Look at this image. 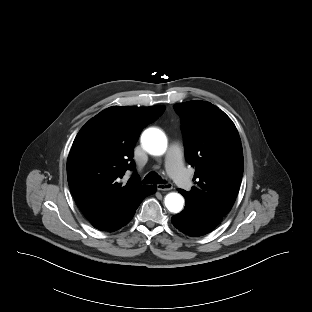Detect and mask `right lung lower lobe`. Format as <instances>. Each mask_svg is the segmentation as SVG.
<instances>
[{
	"label": "right lung lower lobe",
	"mask_w": 312,
	"mask_h": 312,
	"mask_svg": "<svg viewBox=\"0 0 312 312\" xmlns=\"http://www.w3.org/2000/svg\"><path fill=\"white\" fill-rule=\"evenodd\" d=\"M156 191V186L155 185H150V186H146L144 188V190L142 191V193L140 194L139 199L137 200V202L132 206V208L130 209V211L128 212V214L121 220L120 223H118L117 225H115L114 227H112L110 230H108V232H113L116 231L118 229H120L121 227L125 226L134 216L136 209L138 208V206L140 205V203L142 202V200L148 196L153 194Z\"/></svg>",
	"instance_id": "obj_1"
}]
</instances>
